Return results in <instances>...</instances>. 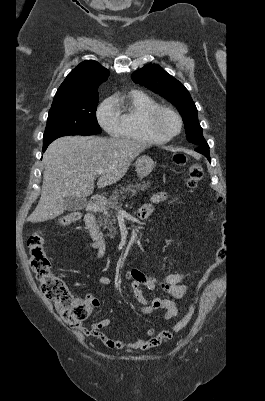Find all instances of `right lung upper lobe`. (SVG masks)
Returning <instances> with one entry per match:
<instances>
[{"instance_id":"right-lung-upper-lobe-1","label":"right lung upper lobe","mask_w":265,"mask_h":401,"mask_svg":"<svg viewBox=\"0 0 265 401\" xmlns=\"http://www.w3.org/2000/svg\"><path fill=\"white\" fill-rule=\"evenodd\" d=\"M108 75L109 71L98 62L85 60L67 75L54 96L52 106L98 95L97 89Z\"/></svg>"}]
</instances>
